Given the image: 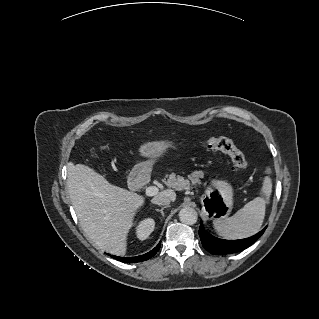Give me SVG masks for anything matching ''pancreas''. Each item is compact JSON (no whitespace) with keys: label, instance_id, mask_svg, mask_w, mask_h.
I'll use <instances>...</instances> for the list:
<instances>
[{"label":"pancreas","instance_id":"pancreas-1","mask_svg":"<svg viewBox=\"0 0 319 319\" xmlns=\"http://www.w3.org/2000/svg\"><path fill=\"white\" fill-rule=\"evenodd\" d=\"M192 180H193V181H198V178H195V179L192 178ZM170 181L175 182V181H177V180H176V178H173V179H170ZM170 184H171L172 186L174 185L173 183H170Z\"/></svg>","mask_w":319,"mask_h":319}]
</instances>
